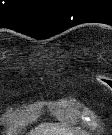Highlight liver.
<instances>
[{"instance_id": "obj_1", "label": "liver", "mask_w": 112, "mask_h": 135, "mask_svg": "<svg viewBox=\"0 0 112 135\" xmlns=\"http://www.w3.org/2000/svg\"><path fill=\"white\" fill-rule=\"evenodd\" d=\"M63 133H65V131L59 132V134H63Z\"/></svg>"}]
</instances>
